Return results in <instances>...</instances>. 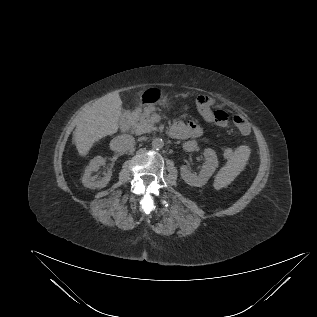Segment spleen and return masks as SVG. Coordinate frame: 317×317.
Segmentation results:
<instances>
[{"instance_id": "1", "label": "spleen", "mask_w": 317, "mask_h": 317, "mask_svg": "<svg viewBox=\"0 0 317 317\" xmlns=\"http://www.w3.org/2000/svg\"><path fill=\"white\" fill-rule=\"evenodd\" d=\"M250 150L247 146L239 147L234 155L220 169L214 180L213 186L216 190L229 185L243 170L249 158Z\"/></svg>"}]
</instances>
